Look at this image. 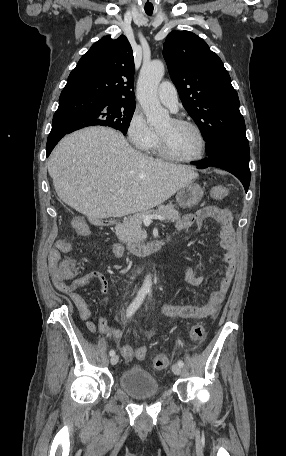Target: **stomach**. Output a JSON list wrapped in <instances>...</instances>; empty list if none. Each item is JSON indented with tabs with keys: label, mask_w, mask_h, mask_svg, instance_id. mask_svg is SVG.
Wrapping results in <instances>:
<instances>
[{
	"label": "stomach",
	"mask_w": 286,
	"mask_h": 456,
	"mask_svg": "<svg viewBox=\"0 0 286 456\" xmlns=\"http://www.w3.org/2000/svg\"><path fill=\"white\" fill-rule=\"evenodd\" d=\"M203 193L200 185L190 183L178 191L176 201L182 208H192L201 201Z\"/></svg>",
	"instance_id": "1"
}]
</instances>
